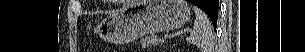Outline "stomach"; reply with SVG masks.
I'll return each instance as SVG.
<instances>
[{
  "label": "stomach",
  "instance_id": "obj_1",
  "mask_svg": "<svg viewBox=\"0 0 305 52\" xmlns=\"http://www.w3.org/2000/svg\"><path fill=\"white\" fill-rule=\"evenodd\" d=\"M185 0H137L103 19L95 33L111 43H129L148 34L178 29L190 17Z\"/></svg>",
  "mask_w": 305,
  "mask_h": 52
}]
</instances>
